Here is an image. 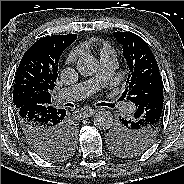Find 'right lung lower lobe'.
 <instances>
[{"label": "right lung lower lobe", "instance_id": "1", "mask_svg": "<svg viewBox=\"0 0 184 184\" xmlns=\"http://www.w3.org/2000/svg\"><path fill=\"white\" fill-rule=\"evenodd\" d=\"M16 120L36 153L63 142L68 126L65 109H55L50 104L24 105L16 110Z\"/></svg>", "mask_w": 184, "mask_h": 184}]
</instances>
